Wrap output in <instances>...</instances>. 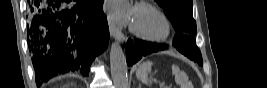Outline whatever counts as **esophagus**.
Returning <instances> with one entry per match:
<instances>
[{
    "mask_svg": "<svg viewBox=\"0 0 267 88\" xmlns=\"http://www.w3.org/2000/svg\"><path fill=\"white\" fill-rule=\"evenodd\" d=\"M108 25H109V31L111 33V35L116 38L118 41H120L121 43L125 42V36L122 33V31L120 29H118L115 24L111 21L110 18H108Z\"/></svg>",
    "mask_w": 267,
    "mask_h": 88,
    "instance_id": "esophagus-1",
    "label": "esophagus"
}]
</instances>
